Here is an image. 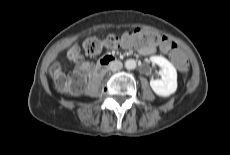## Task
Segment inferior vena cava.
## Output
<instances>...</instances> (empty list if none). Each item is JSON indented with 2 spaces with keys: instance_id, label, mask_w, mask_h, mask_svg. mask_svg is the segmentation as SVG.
<instances>
[{
  "instance_id": "obj_1",
  "label": "inferior vena cava",
  "mask_w": 230,
  "mask_h": 155,
  "mask_svg": "<svg viewBox=\"0 0 230 155\" xmlns=\"http://www.w3.org/2000/svg\"><path fill=\"white\" fill-rule=\"evenodd\" d=\"M122 63L118 60H115V61H112L109 66H108V69L115 72V71H118L122 68Z\"/></svg>"
}]
</instances>
